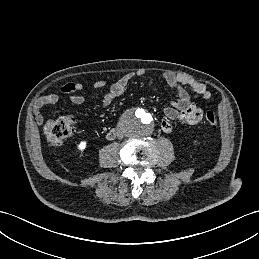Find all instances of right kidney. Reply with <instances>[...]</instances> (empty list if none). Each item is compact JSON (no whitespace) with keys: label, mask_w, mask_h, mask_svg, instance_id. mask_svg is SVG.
<instances>
[{"label":"right kidney","mask_w":259,"mask_h":259,"mask_svg":"<svg viewBox=\"0 0 259 259\" xmlns=\"http://www.w3.org/2000/svg\"><path fill=\"white\" fill-rule=\"evenodd\" d=\"M86 141H81L80 143H79V145H78V149L80 150V151H83L85 148H86Z\"/></svg>","instance_id":"1"}]
</instances>
